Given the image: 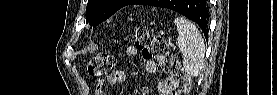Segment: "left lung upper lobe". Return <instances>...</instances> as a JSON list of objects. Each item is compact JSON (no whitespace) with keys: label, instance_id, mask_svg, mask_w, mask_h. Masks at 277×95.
Masks as SVG:
<instances>
[{"label":"left lung upper lobe","instance_id":"1","mask_svg":"<svg viewBox=\"0 0 277 95\" xmlns=\"http://www.w3.org/2000/svg\"><path fill=\"white\" fill-rule=\"evenodd\" d=\"M134 0H88L86 19L94 27L108 19L120 8L129 5ZM176 0H162L157 7L173 6Z\"/></svg>","mask_w":277,"mask_h":95}]
</instances>
